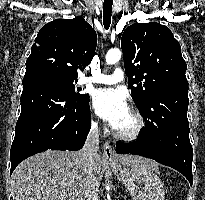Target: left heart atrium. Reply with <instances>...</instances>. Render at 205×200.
Segmentation results:
<instances>
[{
  "label": "left heart atrium",
  "instance_id": "obj_1",
  "mask_svg": "<svg viewBox=\"0 0 205 200\" xmlns=\"http://www.w3.org/2000/svg\"><path fill=\"white\" fill-rule=\"evenodd\" d=\"M93 109L113 129H116L129 113L125 95L121 91L111 88L95 91L93 95Z\"/></svg>",
  "mask_w": 205,
  "mask_h": 200
}]
</instances>
